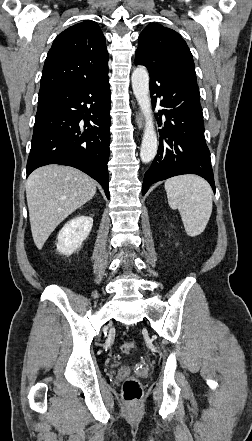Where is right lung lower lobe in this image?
I'll return each instance as SVG.
<instances>
[{
    "mask_svg": "<svg viewBox=\"0 0 252 441\" xmlns=\"http://www.w3.org/2000/svg\"><path fill=\"white\" fill-rule=\"evenodd\" d=\"M110 103L109 80L40 95L27 176L48 164L72 166L99 182L109 199Z\"/></svg>",
    "mask_w": 252,
    "mask_h": 441,
    "instance_id": "98d812e1",
    "label": "right lung lower lobe"
}]
</instances>
